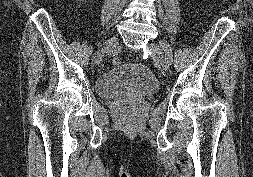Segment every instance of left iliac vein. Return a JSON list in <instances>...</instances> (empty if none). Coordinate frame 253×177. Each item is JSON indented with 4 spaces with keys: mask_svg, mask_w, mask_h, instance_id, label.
<instances>
[{
    "mask_svg": "<svg viewBox=\"0 0 253 177\" xmlns=\"http://www.w3.org/2000/svg\"><path fill=\"white\" fill-rule=\"evenodd\" d=\"M149 49L153 52L155 59L160 63L165 71H169L172 62L171 47L167 42H162V45L150 43Z\"/></svg>",
    "mask_w": 253,
    "mask_h": 177,
    "instance_id": "obj_1",
    "label": "left iliac vein"
}]
</instances>
